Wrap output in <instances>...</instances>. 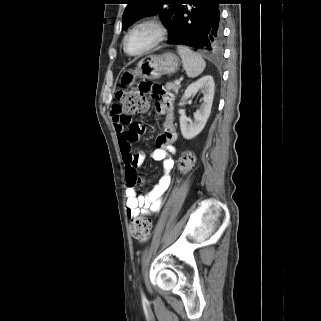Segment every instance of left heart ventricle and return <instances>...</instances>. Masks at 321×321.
<instances>
[{"mask_svg":"<svg viewBox=\"0 0 321 321\" xmlns=\"http://www.w3.org/2000/svg\"><path fill=\"white\" fill-rule=\"evenodd\" d=\"M154 39V32L149 27H142L131 33L127 39V49L137 53L147 47Z\"/></svg>","mask_w":321,"mask_h":321,"instance_id":"left-heart-ventricle-1","label":"left heart ventricle"}]
</instances>
